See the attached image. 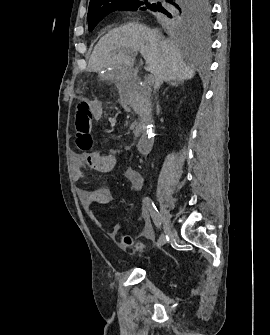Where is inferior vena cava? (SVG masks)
Segmentation results:
<instances>
[{
  "instance_id": "obj_1",
  "label": "inferior vena cava",
  "mask_w": 270,
  "mask_h": 335,
  "mask_svg": "<svg viewBox=\"0 0 270 335\" xmlns=\"http://www.w3.org/2000/svg\"><path fill=\"white\" fill-rule=\"evenodd\" d=\"M156 32H157V30H156ZM155 78H156V82H158V84H159V82H161L160 78H157V76H155Z\"/></svg>"
}]
</instances>
